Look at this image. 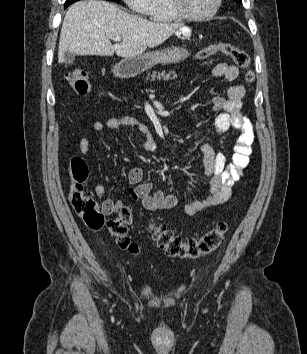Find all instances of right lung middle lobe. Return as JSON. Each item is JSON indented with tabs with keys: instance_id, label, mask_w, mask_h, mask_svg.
I'll return each mask as SVG.
<instances>
[{
	"instance_id": "1",
	"label": "right lung middle lobe",
	"mask_w": 307,
	"mask_h": 354,
	"mask_svg": "<svg viewBox=\"0 0 307 354\" xmlns=\"http://www.w3.org/2000/svg\"><path fill=\"white\" fill-rule=\"evenodd\" d=\"M76 1H78V0H66L64 7L66 8V7H68L70 4H72V3L76 2ZM107 1L118 2V1H120V0H107Z\"/></svg>"
}]
</instances>
